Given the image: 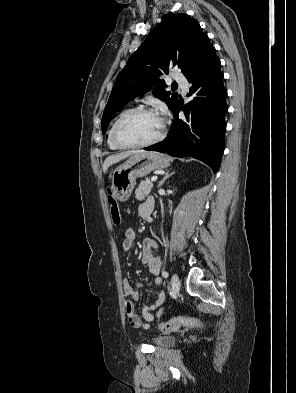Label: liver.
I'll return each mask as SVG.
<instances>
[{
	"label": "liver",
	"mask_w": 296,
	"mask_h": 393,
	"mask_svg": "<svg viewBox=\"0 0 296 393\" xmlns=\"http://www.w3.org/2000/svg\"><path fill=\"white\" fill-rule=\"evenodd\" d=\"M143 152H145V151H141V150H138V151H127V152H121V153H118V154L111 155V156L107 157L105 159L104 163H103V171H104V173H106L107 169L111 165H113L115 163H118L119 161L129 157L130 155L143 153Z\"/></svg>",
	"instance_id": "liver-1"
}]
</instances>
